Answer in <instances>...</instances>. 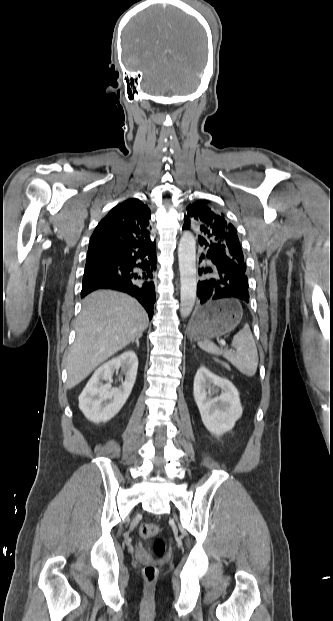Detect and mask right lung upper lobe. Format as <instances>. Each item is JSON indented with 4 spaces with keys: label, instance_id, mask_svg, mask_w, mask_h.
<instances>
[{
    "label": "right lung upper lobe",
    "instance_id": "obj_1",
    "mask_svg": "<svg viewBox=\"0 0 333 621\" xmlns=\"http://www.w3.org/2000/svg\"><path fill=\"white\" fill-rule=\"evenodd\" d=\"M151 211L139 199H128L110 210L95 228L87 255L103 252L143 251L152 245Z\"/></svg>",
    "mask_w": 333,
    "mask_h": 621
}]
</instances>
